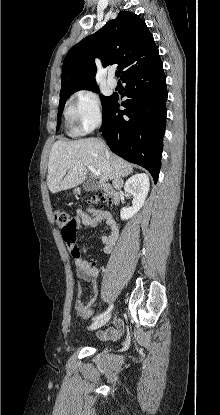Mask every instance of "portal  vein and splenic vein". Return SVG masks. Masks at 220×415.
Returning <instances> with one entry per match:
<instances>
[{
  "mask_svg": "<svg viewBox=\"0 0 220 415\" xmlns=\"http://www.w3.org/2000/svg\"><path fill=\"white\" fill-rule=\"evenodd\" d=\"M88 169L95 175L100 176L101 172L99 170H96L93 166H88Z\"/></svg>",
  "mask_w": 220,
  "mask_h": 415,
  "instance_id": "portal-vein-and-splenic-vein-1",
  "label": "portal vein and splenic vein"
}]
</instances>
